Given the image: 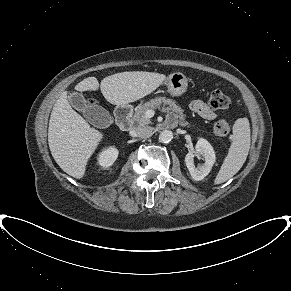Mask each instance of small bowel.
<instances>
[{"label": "small bowel", "instance_id": "small-bowel-1", "mask_svg": "<svg viewBox=\"0 0 291 291\" xmlns=\"http://www.w3.org/2000/svg\"><path fill=\"white\" fill-rule=\"evenodd\" d=\"M190 109L206 120H213L216 118L215 111L202 100H193L190 103Z\"/></svg>", "mask_w": 291, "mask_h": 291}]
</instances>
